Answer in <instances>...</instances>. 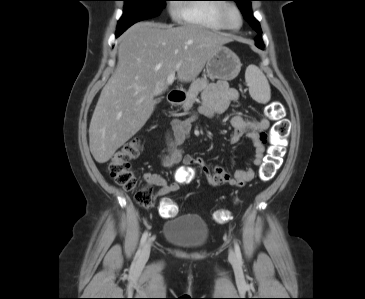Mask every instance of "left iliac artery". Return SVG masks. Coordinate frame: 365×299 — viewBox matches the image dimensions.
<instances>
[{"label": "left iliac artery", "instance_id": "obj_1", "mask_svg": "<svg viewBox=\"0 0 365 299\" xmlns=\"http://www.w3.org/2000/svg\"><path fill=\"white\" fill-rule=\"evenodd\" d=\"M234 248H235V252H236L238 261L242 262V255H241L239 244L237 242L234 243Z\"/></svg>", "mask_w": 365, "mask_h": 299}]
</instances>
